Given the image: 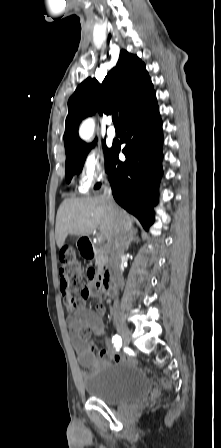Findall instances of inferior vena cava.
I'll return each mask as SVG.
<instances>
[{
	"mask_svg": "<svg viewBox=\"0 0 221 448\" xmlns=\"http://www.w3.org/2000/svg\"><path fill=\"white\" fill-rule=\"evenodd\" d=\"M104 195L108 199L109 207L117 216V221L114 227V239L110 255L115 268H118L120 265L121 257L124 254V250L126 249V243L128 237L124 229L123 222L121 220V211L117 207L113 198L110 197V191L108 189H105ZM114 312L119 313L118 301H116L114 304Z\"/></svg>",
	"mask_w": 221,
	"mask_h": 448,
	"instance_id": "602c4592",
	"label": "inferior vena cava"
}]
</instances>
